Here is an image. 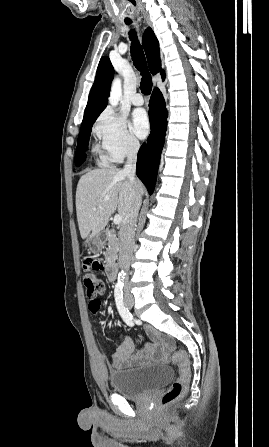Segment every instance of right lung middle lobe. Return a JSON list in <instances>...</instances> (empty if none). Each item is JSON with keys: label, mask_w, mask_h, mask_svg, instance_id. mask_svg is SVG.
<instances>
[{"label": "right lung middle lobe", "mask_w": 269, "mask_h": 447, "mask_svg": "<svg viewBox=\"0 0 269 447\" xmlns=\"http://www.w3.org/2000/svg\"><path fill=\"white\" fill-rule=\"evenodd\" d=\"M93 123L86 124L81 127V130H80V133L78 136L76 155H75V164L77 166H80L86 159L85 150L88 146L89 137H90L91 128H92Z\"/></svg>", "instance_id": "obj_1"}]
</instances>
